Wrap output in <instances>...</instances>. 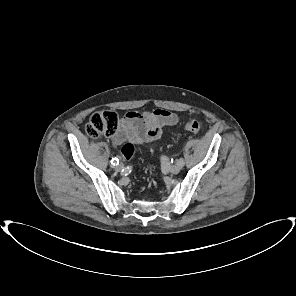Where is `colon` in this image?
Returning <instances> with one entry per match:
<instances>
[{
	"label": "colon",
	"instance_id": "colon-1",
	"mask_svg": "<svg viewBox=\"0 0 296 296\" xmlns=\"http://www.w3.org/2000/svg\"><path fill=\"white\" fill-rule=\"evenodd\" d=\"M119 125V117L113 111H100L94 113L86 124L85 130L90 138L96 139L101 136H112L116 133ZM185 130L191 133H199L202 129L200 122L197 120L188 121ZM136 152L133 142H127L122 146L121 153L124 158L130 160Z\"/></svg>",
	"mask_w": 296,
	"mask_h": 296
}]
</instances>
